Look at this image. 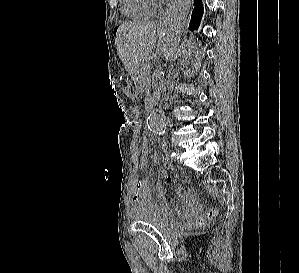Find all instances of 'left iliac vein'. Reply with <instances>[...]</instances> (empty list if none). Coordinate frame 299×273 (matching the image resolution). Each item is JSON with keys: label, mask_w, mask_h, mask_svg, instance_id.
Instances as JSON below:
<instances>
[{"label": "left iliac vein", "mask_w": 299, "mask_h": 273, "mask_svg": "<svg viewBox=\"0 0 299 273\" xmlns=\"http://www.w3.org/2000/svg\"><path fill=\"white\" fill-rule=\"evenodd\" d=\"M181 153H182V150H181V149H178V150H177V155L180 156Z\"/></svg>", "instance_id": "obj_1"}]
</instances>
